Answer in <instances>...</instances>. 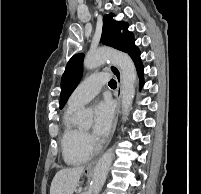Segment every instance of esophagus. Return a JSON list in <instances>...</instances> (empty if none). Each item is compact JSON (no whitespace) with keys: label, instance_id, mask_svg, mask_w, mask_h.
I'll return each instance as SVG.
<instances>
[{"label":"esophagus","instance_id":"34e87169","mask_svg":"<svg viewBox=\"0 0 201 194\" xmlns=\"http://www.w3.org/2000/svg\"><path fill=\"white\" fill-rule=\"evenodd\" d=\"M109 68L117 80V90H116L117 108H116V112H115V116H114V121H113L112 129H111V133H110V136H109V138L105 144V148L110 143L112 136H113L115 129H116V125H117L118 117H119V113H120L121 95H122V73H121V70L119 69V67H117L115 65H110ZM95 164H96V160H93L92 162H90L88 164L87 169L88 170L93 169Z\"/></svg>","mask_w":201,"mask_h":194}]
</instances>
